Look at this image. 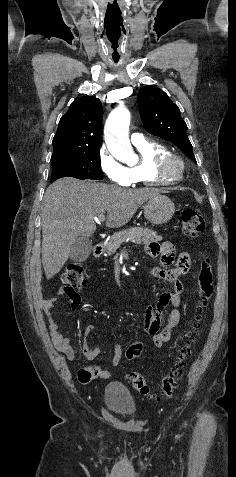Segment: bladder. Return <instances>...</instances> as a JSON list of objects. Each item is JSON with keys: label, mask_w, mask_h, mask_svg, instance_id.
Wrapping results in <instances>:
<instances>
[{"label": "bladder", "mask_w": 236, "mask_h": 477, "mask_svg": "<svg viewBox=\"0 0 236 477\" xmlns=\"http://www.w3.org/2000/svg\"><path fill=\"white\" fill-rule=\"evenodd\" d=\"M104 402L110 411L119 415L130 414L136 410L133 397L118 382H111L106 386Z\"/></svg>", "instance_id": "bladder-1"}]
</instances>
